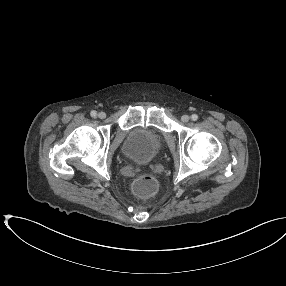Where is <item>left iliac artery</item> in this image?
Masks as SVG:
<instances>
[{
    "label": "left iliac artery",
    "mask_w": 286,
    "mask_h": 286,
    "mask_svg": "<svg viewBox=\"0 0 286 286\" xmlns=\"http://www.w3.org/2000/svg\"><path fill=\"white\" fill-rule=\"evenodd\" d=\"M191 119H192L193 121H196V120L198 119V116H197L196 114H193V115L191 116Z\"/></svg>",
    "instance_id": "obj_1"
}]
</instances>
